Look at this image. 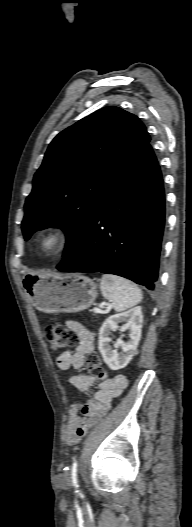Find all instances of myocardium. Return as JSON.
<instances>
[{"instance_id":"obj_1","label":"myocardium","mask_w":192,"mask_h":527,"mask_svg":"<svg viewBox=\"0 0 192 527\" xmlns=\"http://www.w3.org/2000/svg\"><path fill=\"white\" fill-rule=\"evenodd\" d=\"M70 241V233L62 224H52L36 236L35 247L44 258H51L64 252Z\"/></svg>"}]
</instances>
